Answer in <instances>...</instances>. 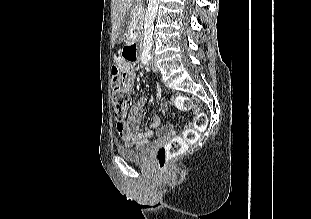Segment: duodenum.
I'll use <instances>...</instances> for the list:
<instances>
[{
	"mask_svg": "<svg viewBox=\"0 0 311 219\" xmlns=\"http://www.w3.org/2000/svg\"><path fill=\"white\" fill-rule=\"evenodd\" d=\"M128 48L129 49H134L135 52L137 53L138 51H140V46H139V37H138V30L137 29H133L129 32L128 34Z\"/></svg>",
	"mask_w": 311,
	"mask_h": 219,
	"instance_id": "obj_1",
	"label": "duodenum"
}]
</instances>
